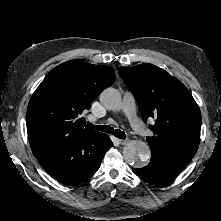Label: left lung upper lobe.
<instances>
[{
  "mask_svg": "<svg viewBox=\"0 0 221 221\" xmlns=\"http://www.w3.org/2000/svg\"><path fill=\"white\" fill-rule=\"evenodd\" d=\"M120 77L132 91L143 121L154 118L147 137L152 156L184 168L200 142L201 113L188 89L165 70L145 63L119 68Z\"/></svg>",
  "mask_w": 221,
  "mask_h": 221,
  "instance_id": "1",
  "label": "left lung upper lobe"
}]
</instances>
